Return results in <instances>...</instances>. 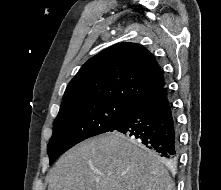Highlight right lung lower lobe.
I'll return each instance as SVG.
<instances>
[{"mask_svg":"<svg viewBox=\"0 0 221 190\" xmlns=\"http://www.w3.org/2000/svg\"><path fill=\"white\" fill-rule=\"evenodd\" d=\"M117 131L137 139L169 165L178 160V126L166 86L135 103L110 132Z\"/></svg>","mask_w":221,"mask_h":190,"instance_id":"1","label":"right lung lower lobe"}]
</instances>
